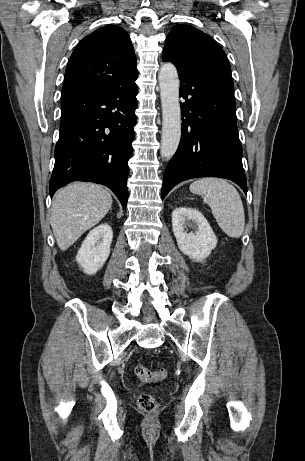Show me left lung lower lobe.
I'll return each instance as SVG.
<instances>
[{
  "mask_svg": "<svg viewBox=\"0 0 305 461\" xmlns=\"http://www.w3.org/2000/svg\"><path fill=\"white\" fill-rule=\"evenodd\" d=\"M178 74L185 99L181 140L164 173L162 199L176 184L197 177L233 180L247 194L232 76Z\"/></svg>",
  "mask_w": 305,
  "mask_h": 461,
  "instance_id": "0a47b994",
  "label": "left lung lower lobe"
}]
</instances>
